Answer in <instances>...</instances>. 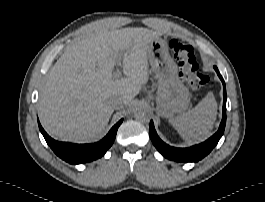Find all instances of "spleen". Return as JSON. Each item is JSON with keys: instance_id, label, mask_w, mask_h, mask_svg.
I'll return each instance as SVG.
<instances>
[{"instance_id": "1", "label": "spleen", "mask_w": 265, "mask_h": 202, "mask_svg": "<svg viewBox=\"0 0 265 202\" xmlns=\"http://www.w3.org/2000/svg\"><path fill=\"white\" fill-rule=\"evenodd\" d=\"M217 102L213 94L208 93L192 110L169 120L180 136L191 141H203L216 120Z\"/></svg>"}]
</instances>
